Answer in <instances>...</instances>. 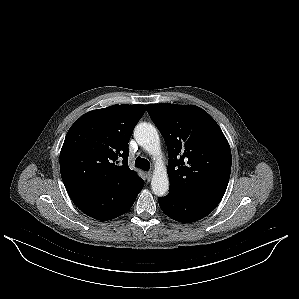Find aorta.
Wrapping results in <instances>:
<instances>
[{"mask_svg":"<svg viewBox=\"0 0 299 299\" xmlns=\"http://www.w3.org/2000/svg\"><path fill=\"white\" fill-rule=\"evenodd\" d=\"M134 138L154 159L159 161L153 172L151 189L156 196L162 197L169 189V178L166 168L160 162L162 153L158 131L150 123H140L135 127Z\"/></svg>","mask_w":299,"mask_h":299,"instance_id":"762f6f07","label":"aorta"}]
</instances>
